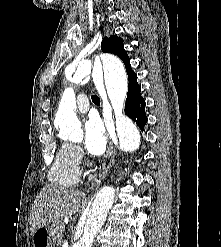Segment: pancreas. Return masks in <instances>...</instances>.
I'll return each instance as SVG.
<instances>
[{"mask_svg":"<svg viewBox=\"0 0 221 247\" xmlns=\"http://www.w3.org/2000/svg\"><path fill=\"white\" fill-rule=\"evenodd\" d=\"M63 226L59 223H56L53 225L52 227V235H53V239L55 241V244L57 246L61 245L63 242Z\"/></svg>","mask_w":221,"mask_h":247,"instance_id":"obj_1","label":"pancreas"}]
</instances>
